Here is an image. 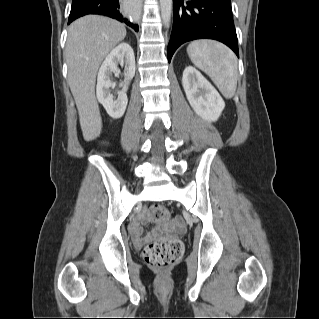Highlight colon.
I'll list each match as a JSON object with an SVG mask.
<instances>
[{"instance_id": "colon-1", "label": "colon", "mask_w": 319, "mask_h": 319, "mask_svg": "<svg viewBox=\"0 0 319 319\" xmlns=\"http://www.w3.org/2000/svg\"><path fill=\"white\" fill-rule=\"evenodd\" d=\"M148 216L156 221H168L172 213L164 205H154L148 212ZM184 244L176 236H165L150 244L143 250L145 263L155 269H168L172 267L182 256Z\"/></svg>"}]
</instances>
